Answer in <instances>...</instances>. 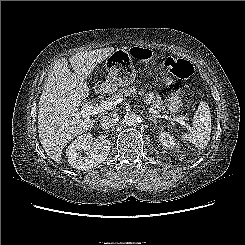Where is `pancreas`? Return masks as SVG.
Returning <instances> with one entry per match:
<instances>
[{
  "label": "pancreas",
  "instance_id": "pancreas-1",
  "mask_svg": "<svg viewBox=\"0 0 245 245\" xmlns=\"http://www.w3.org/2000/svg\"><path fill=\"white\" fill-rule=\"evenodd\" d=\"M137 93L136 87H128V88H121L118 90V92L114 93L112 96L108 98V100H117L124 96H130L132 94ZM138 94L144 97V102L147 105H150L152 108H156L159 111L166 112V104L165 101L161 99L159 95H154L153 92H145V91H138Z\"/></svg>",
  "mask_w": 245,
  "mask_h": 245
}]
</instances>
